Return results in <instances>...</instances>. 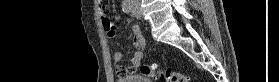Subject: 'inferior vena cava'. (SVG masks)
I'll use <instances>...</instances> for the list:
<instances>
[{"label":"inferior vena cava","instance_id":"inferior-vena-cava-1","mask_svg":"<svg viewBox=\"0 0 279 82\" xmlns=\"http://www.w3.org/2000/svg\"><path fill=\"white\" fill-rule=\"evenodd\" d=\"M132 6H135V11L138 13L139 0H131Z\"/></svg>","mask_w":279,"mask_h":82}]
</instances>
